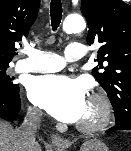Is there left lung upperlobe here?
<instances>
[{
    "mask_svg": "<svg viewBox=\"0 0 131 151\" xmlns=\"http://www.w3.org/2000/svg\"><path fill=\"white\" fill-rule=\"evenodd\" d=\"M88 22L87 43H100L92 73L115 111L116 121L131 117V5L122 0H81ZM103 62L106 65L103 66ZM98 70H101L99 72Z\"/></svg>",
    "mask_w": 131,
    "mask_h": 151,
    "instance_id": "5c2ea615",
    "label": "left lung upper lobe"
}]
</instances>
